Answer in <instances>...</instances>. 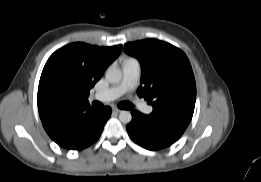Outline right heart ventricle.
Instances as JSON below:
<instances>
[{"label": "right heart ventricle", "mask_w": 261, "mask_h": 182, "mask_svg": "<svg viewBox=\"0 0 261 182\" xmlns=\"http://www.w3.org/2000/svg\"><path fill=\"white\" fill-rule=\"evenodd\" d=\"M129 60H132V59H127L126 61H129ZM126 61H125V62H126Z\"/></svg>", "instance_id": "e07e8e85"}]
</instances>
